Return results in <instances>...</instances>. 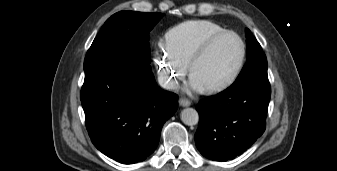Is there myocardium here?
<instances>
[{"mask_svg": "<svg viewBox=\"0 0 337 171\" xmlns=\"http://www.w3.org/2000/svg\"><path fill=\"white\" fill-rule=\"evenodd\" d=\"M226 36H234L240 46H241V55L240 58L238 60V63L236 64L235 68L233 69V71L231 72V74L222 82L206 87L205 90L207 92H219L222 90L227 89L228 87H230L239 77L245 60H246V55H247V47H246V43L243 40V38L235 31L232 30H225L223 32H220L216 35H213L212 37L208 38L207 40H205L198 48L197 50L194 52V54L192 55L189 63H188V70L190 75L192 76V72L194 69V66L196 65V63L209 51V49L221 38L226 37Z\"/></svg>", "mask_w": 337, "mask_h": 171, "instance_id": "obj_1", "label": "myocardium"}]
</instances>
